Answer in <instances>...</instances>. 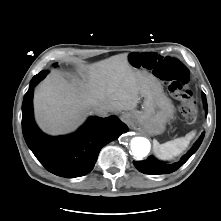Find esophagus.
Listing matches in <instances>:
<instances>
[{
    "mask_svg": "<svg viewBox=\"0 0 221 221\" xmlns=\"http://www.w3.org/2000/svg\"><path fill=\"white\" fill-rule=\"evenodd\" d=\"M121 120L125 122L127 125H130L131 116L127 113L121 115Z\"/></svg>",
    "mask_w": 221,
    "mask_h": 221,
    "instance_id": "1",
    "label": "esophagus"
}]
</instances>
